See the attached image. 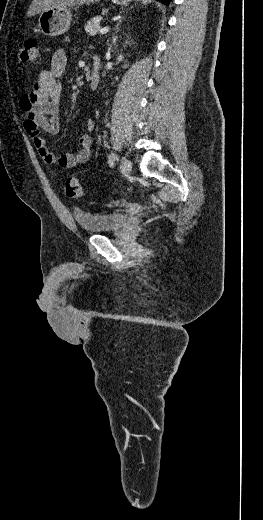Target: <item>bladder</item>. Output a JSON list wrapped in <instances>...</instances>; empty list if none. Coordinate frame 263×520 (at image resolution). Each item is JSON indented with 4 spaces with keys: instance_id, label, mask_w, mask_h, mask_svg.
Here are the masks:
<instances>
[{
    "instance_id": "obj_1",
    "label": "bladder",
    "mask_w": 263,
    "mask_h": 520,
    "mask_svg": "<svg viewBox=\"0 0 263 520\" xmlns=\"http://www.w3.org/2000/svg\"><path fill=\"white\" fill-rule=\"evenodd\" d=\"M75 220L83 231L99 234L122 229L127 223V216L121 213L80 212L75 215Z\"/></svg>"
}]
</instances>
